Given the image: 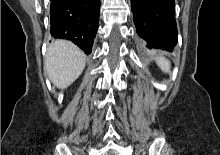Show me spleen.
I'll list each match as a JSON object with an SVG mask.
<instances>
[{"label": "spleen", "instance_id": "1", "mask_svg": "<svg viewBox=\"0 0 220 155\" xmlns=\"http://www.w3.org/2000/svg\"><path fill=\"white\" fill-rule=\"evenodd\" d=\"M157 65L161 68V70L165 73L170 72V62L164 58V57H159L156 59Z\"/></svg>", "mask_w": 220, "mask_h": 155}]
</instances>
